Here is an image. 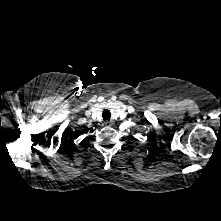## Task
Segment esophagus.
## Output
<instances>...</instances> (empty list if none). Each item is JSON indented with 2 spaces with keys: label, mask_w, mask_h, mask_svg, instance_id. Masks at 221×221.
I'll use <instances>...</instances> for the list:
<instances>
[{
  "label": "esophagus",
  "mask_w": 221,
  "mask_h": 221,
  "mask_svg": "<svg viewBox=\"0 0 221 221\" xmlns=\"http://www.w3.org/2000/svg\"><path fill=\"white\" fill-rule=\"evenodd\" d=\"M104 124H105L106 127H111L112 126V122H109V121H106Z\"/></svg>",
  "instance_id": "esophagus-1"
}]
</instances>
